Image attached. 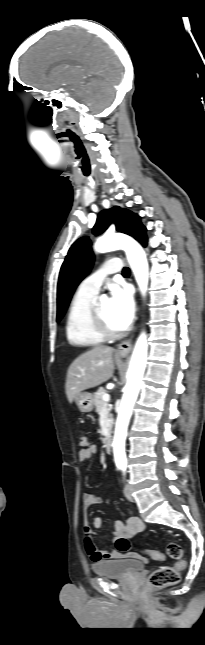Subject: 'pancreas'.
I'll use <instances>...</instances> for the list:
<instances>
[{
    "mask_svg": "<svg viewBox=\"0 0 205 645\" xmlns=\"http://www.w3.org/2000/svg\"><path fill=\"white\" fill-rule=\"evenodd\" d=\"M106 394V390L104 388H99L95 394H94V405H95V411L99 414L103 408L106 407L107 403L103 400V395ZM108 417L110 421L112 422V414L108 410Z\"/></svg>",
    "mask_w": 205,
    "mask_h": 645,
    "instance_id": "pancreas-1",
    "label": "pancreas"
}]
</instances>
